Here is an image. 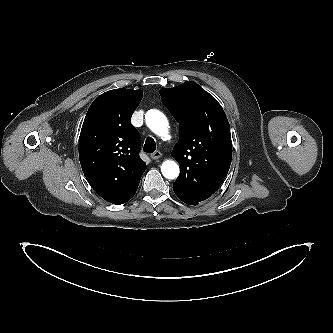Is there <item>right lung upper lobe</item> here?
<instances>
[{
    "label": "right lung upper lobe",
    "instance_id": "right-lung-upper-lobe-1",
    "mask_svg": "<svg viewBox=\"0 0 333 333\" xmlns=\"http://www.w3.org/2000/svg\"><path fill=\"white\" fill-rule=\"evenodd\" d=\"M141 90L114 89L88 109L79 138V159L92 188L106 201L123 204L136 193L146 164L139 157L140 137L131 116Z\"/></svg>",
    "mask_w": 333,
    "mask_h": 333
}]
</instances>
